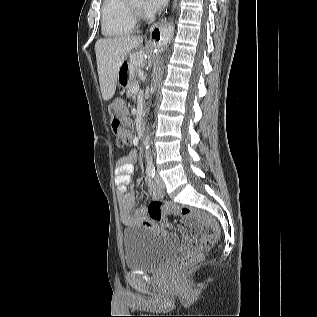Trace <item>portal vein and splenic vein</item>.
<instances>
[{"label": "portal vein and splenic vein", "mask_w": 317, "mask_h": 317, "mask_svg": "<svg viewBox=\"0 0 317 317\" xmlns=\"http://www.w3.org/2000/svg\"><path fill=\"white\" fill-rule=\"evenodd\" d=\"M139 91V85H135L132 89V92L136 94Z\"/></svg>", "instance_id": "portal-vein-and-splenic-vein-1"}]
</instances>
